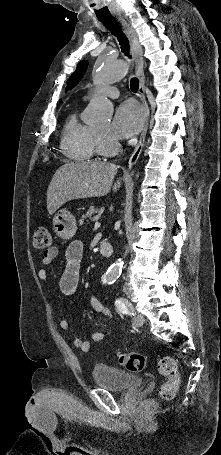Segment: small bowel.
I'll list each match as a JSON object with an SVG mask.
<instances>
[{"label":"small bowel","mask_w":221,"mask_h":455,"mask_svg":"<svg viewBox=\"0 0 221 455\" xmlns=\"http://www.w3.org/2000/svg\"><path fill=\"white\" fill-rule=\"evenodd\" d=\"M83 252L84 247L80 241L72 242L66 249L65 252L66 263L64 272L60 280V289L61 292L67 297L74 295V293L77 290L83 259ZM58 254L59 250L56 247H51L49 250L44 251L41 258L42 267L37 271V277L40 281L42 282L47 281L48 274L45 267L49 266L53 262V260L58 256ZM90 304L93 307V309L97 311L99 314L109 319L112 318L113 315L111 310L102 304L97 294H93L90 297ZM59 326L62 330L69 329V323L66 320H61L59 322ZM110 334H111L110 332H95L93 333L92 338L94 341H101L109 337ZM73 344L75 347L81 349L84 352H88L91 349V342L79 337L74 338Z\"/></svg>","instance_id":"obj_1"}]
</instances>
